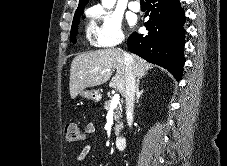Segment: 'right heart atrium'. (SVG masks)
<instances>
[{
  "label": "right heart atrium",
  "mask_w": 227,
  "mask_h": 166,
  "mask_svg": "<svg viewBox=\"0 0 227 166\" xmlns=\"http://www.w3.org/2000/svg\"><path fill=\"white\" fill-rule=\"evenodd\" d=\"M89 14L94 23V36L98 46L112 48L123 42L122 22L115 12L94 5L89 9Z\"/></svg>",
  "instance_id": "1"
}]
</instances>
